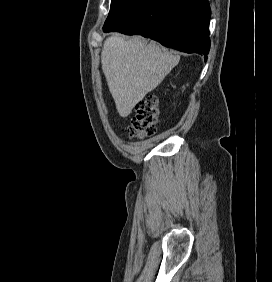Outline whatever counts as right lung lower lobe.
I'll use <instances>...</instances> for the list:
<instances>
[{
	"label": "right lung lower lobe",
	"mask_w": 272,
	"mask_h": 282,
	"mask_svg": "<svg viewBox=\"0 0 272 282\" xmlns=\"http://www.w3.org/2000/svg\"><path fill=\"white\" fill-rule=\"evenodd\" d=\"M210 16L208 0H137L103 31L142 35L207 59Z\"/></svg>",
	"instance_id": "right-lung-lower-lobe-1"
}]
</instances>
